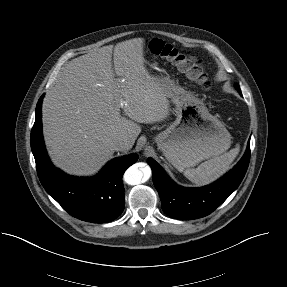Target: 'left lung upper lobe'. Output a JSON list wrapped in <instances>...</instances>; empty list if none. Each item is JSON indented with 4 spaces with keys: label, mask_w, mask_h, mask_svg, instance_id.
<instances>
[{
    "label": "left lung upper lobe",
    "mask_w": 287,
    "mask_h": 287,
    "mask_svg": "<svg viewBox=\"0 0 287 287\" xmlns=\"http://www.w3.org/2000/svg\"><path fill=\"white\" fill-rule=\"evenodd\" d=\"M235 89L242 95V93H241V90H240V87L239 86H237V85H235Z\"/></svg>",
    "instance_id": "left-lung-upper-lobe-1"
}]
</instances>
